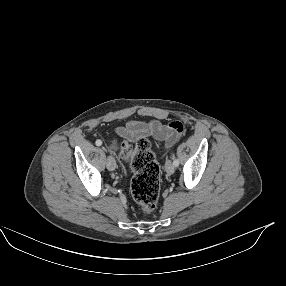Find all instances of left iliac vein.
<instances>
[{"label": "left iliac vein", "instance_id": "1", "mask_svg": "<svg viewBox=\"0 0 286 286\" xmlns=\"http://www.w3.org/2000/svg\"><path fill=\"white\" fill-rule=\"evenodd\" d=\"M165 171L168 174H173L174 171H175V167H174L173 163L170 160H167L166 163H165Z\"/></svg>", "mask_w": 286, "mask_h": 286}]
</instances>
